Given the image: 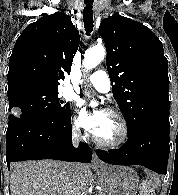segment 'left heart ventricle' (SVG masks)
<instances>
[{"mask_svg": "<svg viewBox=\"0 0 178 195\" xmlns=\"http://www.w3.org/2000/svg\"><path fill=\"white\" fill-rule=\"evenodd\" d=\"M95 135L104 141H114L119 138L120 127L117 120L111 115L105 113L103 122Z\"/></svg>", "mask_w": 178, "mask_h": 195, "instance_id": "obj_1", "label": "left heart ventricle"}]
</instances>
